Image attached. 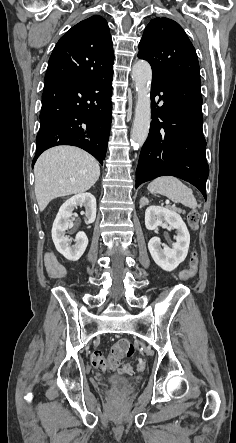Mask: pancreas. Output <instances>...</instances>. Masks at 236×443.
Instances as JSON below:
<instances>
[{
  "mask_svg": "<svg viewBox=\"0 0 236 443\" xmlns=\"http://www.w3.org/2000/svg\"><path fill=\"white\" fill-rule=\"evenodd\" d=\"M173 210H174V211H177V212H179V213H182V214L185 213V211L182 210V209H180V208H173Z\"/></svg>",
  "mask_w": 236,
  "mask_h": 443,
  "instance_id": "1",
  "label": "pancreas"
}]
</instances>
